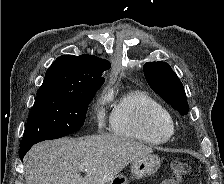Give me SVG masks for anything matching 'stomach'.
<instances>
[{
  "label": "stomach",
  "instance_id": "0dacf381",
  "mask_svg": "<svg viewBox=\"0 0 224 184\" xmlns=\"http://www.w3.org/2000/svg\"><path fill=\"white\" fill-rule=\"evenodd\" d=\"M160 159L156 155H148L134 160L131 163V172L136 179H142L154 174L160 167ZM106 184H128L127 178L119 174Z\"/></svg>",
  "mask_w": 224,
  "mask_h": 184
}]
</instances>
